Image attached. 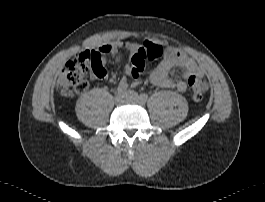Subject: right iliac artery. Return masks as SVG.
<instances>
[{"label": "right iliac artery", "mask_w": 265, "mask_h": 202, "mask_svg": "<svg viewBox=\"0 0 265 202\" xmlns=\"http://www.w3.org/2000/svg\"><path fill=\"white\" fill-rule=\"evenodd\" d=\"M128 85L126 83H120L115 91V94H120L126 91Z\"/></svg>", "instance_id": "82829eb1"}]
</instances>
